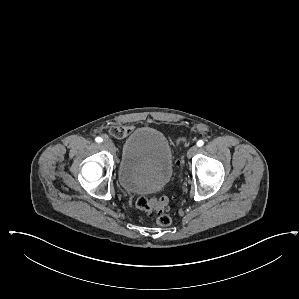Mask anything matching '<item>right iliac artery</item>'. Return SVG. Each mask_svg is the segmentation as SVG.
<instances>
[{
    "mask_svg": "<svg viewBox=\"0 0 299 299\" xmlns=\"http://www.w3.org/2000/svg\"><path fill=\"white\" fill-rule=\"evenodd\" d=\"M95 140H96V142H98V143H100V142L103 141V139H102L101 137H96Z\"/></svg>",
    "mask_w": 299,
    "mask_h": 299,
    "instance_id": "1",
    "label": "right iliac artery"
}]
</instances>
